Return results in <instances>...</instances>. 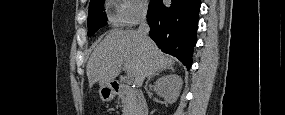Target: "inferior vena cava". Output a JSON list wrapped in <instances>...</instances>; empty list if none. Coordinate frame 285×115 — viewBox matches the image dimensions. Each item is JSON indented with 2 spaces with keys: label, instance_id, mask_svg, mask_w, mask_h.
<instances>
[{
  "label": "inferior vena cava",
  "instance_id": "inferior-vena-cava-1",
  "mask_svg": "<svg viewBox=\"0 0 285 115\" xmlns=\"http://www.w3.org/2000/svg\"><path fill=\"white\" fill-rule=\"evenodd\" d=\"M149 25L146 21V17H142L139 29H138V34L141 38L142 41L146 42L149 40L148 33H149Z\"/></svg>",
  "mask_w": 285,
  "mask_h": 115
}]
</instances>
